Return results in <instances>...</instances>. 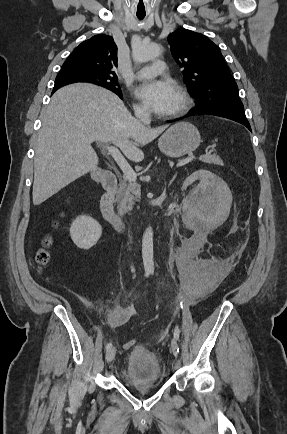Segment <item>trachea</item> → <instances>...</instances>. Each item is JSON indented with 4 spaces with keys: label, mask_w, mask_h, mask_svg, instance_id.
<instances>
[{
    "label": "trachea",
    "mask_w": 287,
    "mask_h": 434,
    "mask_svg": "<svg viewBox=\"0 0 287 434\" xmlns=\"http://www.w3.org/2000/svg\"><path fill=\"white\" fill-rule=\"evenodd\" d=\"M138 19L142 20L145 17V14H136Z\"/></svg>",
    "instance_id": "3493384b"
}]
</instances>
